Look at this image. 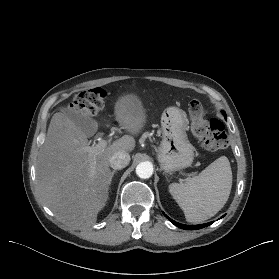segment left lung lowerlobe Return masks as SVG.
<instances>
[{"mask_svg": "<svg viewBox=\"0 0 279 279\" xmlns=\"http://www.w3.org/2000/svg\"><path fill=\"white\" fill-rule=\"evenodd\" d=\"M166 216V215H165ZM167 217V216H166ZM168 218V217H167ZM174 225L178 226L179 228H182V229H186V230H196V229H201V228H204L210 224H212V222L210 223H206V224H201V225H183V224H180V223H177L175 221H173L172 219L168 218Z\"/></svg>", "mask_w": 279, "mask_h": 279, "instance_id": "1", "label": "left lung lower lobe"}]
</instances>
